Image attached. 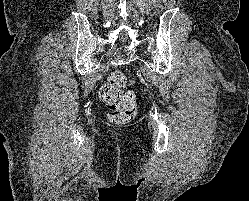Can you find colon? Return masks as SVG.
Returning <instances> with one entry per match:
<instances>
[{
	"instance_id": "1",
	"label": "colon",
	"mask_w": 249,
	"mask_h": 201,
	"mask_svg": "<svg viewBox=\"0 0 249 201\" xmlns=\"http://www.w3.org/2000/svg\"><path fill=\"white\" fill-rule=\"evenodd\" d=\"M127 78L120 70L113 71L101 87L99 97L109 109V120L124 125L136 115L137 106L133 91L126 89Z\"/></svg>"
}]
</instances>
